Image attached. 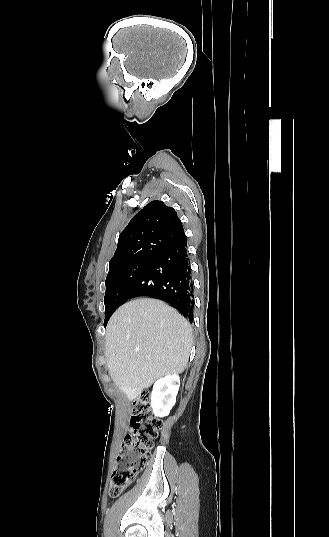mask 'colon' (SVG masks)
Returning a JSON list of instances; mask_svg holds the SVG:
<instances>
[{
  "label": "colon",
  "instance_id": "1",
  "mask_svg": "<svg viewBox=\"0 0 329 537\" xmlns=\"http://www.w3.org/2000/svg\"><path fill=\"white\" fill-rule=\"evenodd\" d=\"M133 404L131 431L124 438L111 475L109 492L113 497L120 495L144 467L163 426L162 421L152 414L147 392H143Z\"/></svg>",
  "mask_w": 329,
  "mask_h": 537
}]
</instances>
